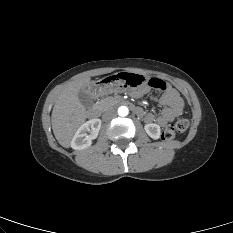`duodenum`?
Wrapping results in <instances>:
<instances>
[{
    "mask_svg": "<svg viewBox=\"0 0 233 233\" xmlns=\"http://www.w3.org/2000/svg\"><path fill=\"white\" fill-rule=\"evenodd\" d=\"M118 103L120 105H125V106H128V107H131L133 109V111L137 114V115H141V109L133 106V104L131 102H129L128 100H125V99H119L118 100ZM99 114H100V110L98 107H93L91 108L89 111H88V116L89 118L91 119H97L99 117Z\"/></svg>",
    "mask_w": 233,
    "mask_h": 233,
    "instance_id": "410a0bca",
    "label": "duodenum"
}]
</instances>
